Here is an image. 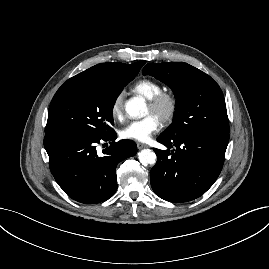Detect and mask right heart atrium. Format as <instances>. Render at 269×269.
I'll use <instances>...</instances> for the list:
<instances>
[{"label":"right heart atrium","mask_w":269,"mask_h":269,"mask_svg":"<svg viewBox=\"0 0 269 269\" xmlns=\"http://www.w3.org/2000/svg\"><path fill=\"white\" fill-rule=\"evenodd\" d=\"M124 92H118L112 100L110 112L114 119L121 120L123 117Z\"/></svg>","instance_id":"1"}]
</instances>
